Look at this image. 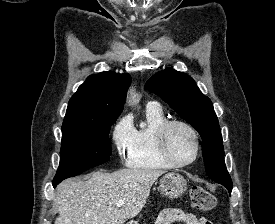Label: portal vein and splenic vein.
<instances>
[{
    "label": "portal vein and splenic vein",
    "instance_id": "1",
    "mask_svg": "<svg viewBox=\"0 0 275 224\" xmlns=\"http://www.w3.org/2000/svg\"><path fill=\"white\" fill-rule=\"evenodd\" d=\"M123 204H124V201L123 200H119L117 202V207H121Z\"/></svg>",
    "mask_w": 275,
    "mask_h": 224
}]
</instances>
